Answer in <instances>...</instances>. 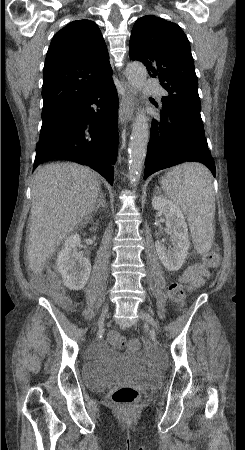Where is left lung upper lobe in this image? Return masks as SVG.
I'll return each mask as SVG.
<instances>
[{"instance_id": "5c2ea615", "label": "left lung upper lobe", "mask_w": 245, "mask_h": 450, "mask_svg": "<svg viewBox=\"0 0 245 450\" xmlns=\"http://www.w3.org/2000/svg\"><path fill=\"white\" fill-rule=\"evenodd\" d=\"M129 55L141 61L169 93L162 97V111L179 112L204 132L194 61L182 29L152 15L139 18L132 29Z\"/></svg>"}]
</instances>
